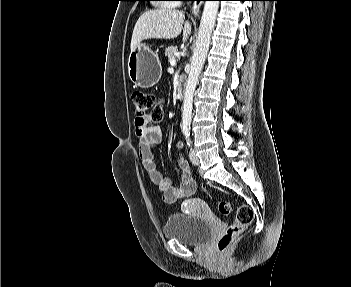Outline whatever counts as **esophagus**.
<instances>
[{
	"label": "esophagus",
	"instance_id": "1",
	"mask_svg": "<svg viewBox=\"0 0 351 287\" xmlns=\"http://www.w3.org/2000/svg\"><path fill=\"white\" fill-rule=\"evenodd\" d=\"M201 5H202V0L194 1L193 7H192V12L194 15H196L199 12Z\"/></svg>",
	"mask_w": 351,
	"mask_h": 287
}]
</instances>
